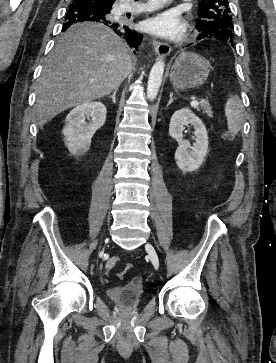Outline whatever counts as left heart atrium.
I'll return each instance as SVG.
<instances>
[{"label": "left heart atrium", "instance_id": "obj_1", "mask_svg": "<svg viewBox=\"0 0 276 363\" xmlns=\"http://www.w3.org/2000/svg\"><path fill=\"white\" fill-rule=\"evenodd\" d=\"M145 25L150 32L171 39L180 37L185 30V21L173 10L149 18Z\"/></svg>", "mask_w": 276, "mask_h": 363}]
</instances>
